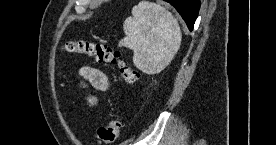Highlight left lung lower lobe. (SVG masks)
Wrapping results in <instances>:
<instances>
[{
	"label": "left lung lower lobe",
	"mask_w": 276,
	"mask_h": 145,
	"mask_svg": "<svg viewBox=\"0 0 276 145\" xmlns=\"http://www.w3.org/2000/svg\"><path fill=\"white\" fill-rule=\"evenodd\" d=\"M180 13L190 31H192L200 8V0H165Z\"/></svg>",
	"instance_id": "left-lung-lower-lobe-1"
}]
</instances>
